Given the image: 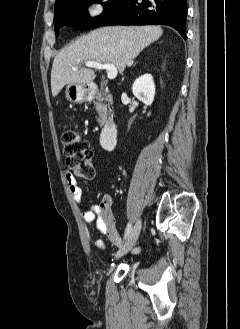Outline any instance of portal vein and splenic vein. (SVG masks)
Returning a JSON list of instances; mask_svg holds the SVG:
<instances>
[{
	"mask_svg": "<svg viewBox=\"0 0 240 329\" xmlns=\"http://www.w3.org/2000/svg\"><path fill=\"white\" fill-rule=\"evenodd\" d=\"M86 67L97 68V69H106L108 71L107 77L108 79H114L117 76L118 70L117 67L111 63H99L95 61H87L85 62ZM74 71L78 70L77 67L73 68Z\"/></svg>",
	"mask_w": 240,
	"mask_h": 329,
	"instance_id": "portal-vein-and-splenic-vein-1",
	"label": "portal vein and splenic vein"
}]
</instances>
